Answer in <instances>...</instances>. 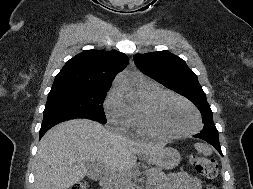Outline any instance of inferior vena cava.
Masks as SVG:
<instances>
[{
  "mask_svg": "<svg viewBox=\"0 0 253 189\" xmlns=\"http://www.w3.org/2000/svg\"><path fill=\"white\" fill-rule=\"evenodd\" d=\"M128 182V179L120 178L119 176H113L110 182V189H123Z\"/></svg>",
  "mask_w": 253,
  "mask_h": 189,
  "instance_id": "602c4592",
  "label": "inferior vena cava"
}]
</instances>
